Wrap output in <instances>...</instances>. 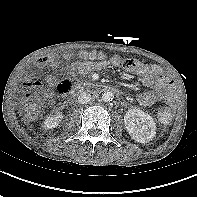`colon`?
<instances>
[{"mask_svg": "<svg viewBox=\"0 0 197 197\" xmlns=\"http://www.w3.org/2000/svg\"><path fill=\"white\" fill-rule=\"evenodd\" d=\"M85 55H82V57H84ZM92 58L95 59H102L103 58V54L99 51H95L92 53ZM31 86L35 87V88H39L40 84L39 83H31ZM72 87V82L70 80H63L61 81L58 86H57V90L60 94H65L67 93ZM38 101L35 97L30 98L27 103H26V110L28 112V114L30 115H35L38 112ZM173 116V112L169 107H162L159 109L158 111V119L163 122V123H168Z\"/></svg>", "mask_w": 197, "mask_h": 197, "instance_id": "5ec220e1", "label": "colon"}]
</instances>
